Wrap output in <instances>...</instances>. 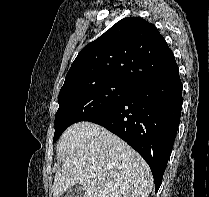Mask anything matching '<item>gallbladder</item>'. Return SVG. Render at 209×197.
Wrapping results in <instances>:
<instances>
[{"label":"gallbladder","mask_w":209,"mask_h":197,"mask_svg":"<svg viewBox=\"0 0 209 197\" xmlns=\"http://www.w3.org/2000/svg\"><path fill=\"white\" fill-rule=\"evenodd\" d=\"M64 197H84V190L81 186H75Z\"/></svg>","instance_id":"1"}]
</instances>
